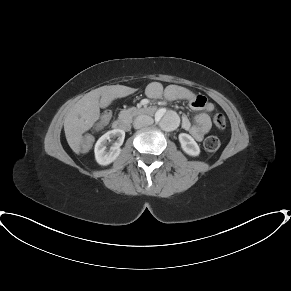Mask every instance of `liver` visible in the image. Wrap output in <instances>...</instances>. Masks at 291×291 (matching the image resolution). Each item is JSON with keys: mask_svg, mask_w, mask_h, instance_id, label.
<instances>
[{"mask_svg": "<svg viewBox=\"0 0 291 291\" xmlns=\"http://www.w3.org/2000/svg\"><path fill=\"white\" fill-rule=\"evenodd\" d=\"M136 89L122 85L103 86L84 95L66 114L64 131L71 149L80 153L82 134L100 117V107L105 108L117 98L126 97Z\"/></svg>", "mask_w": 291, "mask_h": 291, "instance_id": "1", "label": "liver"}]
</instances>
